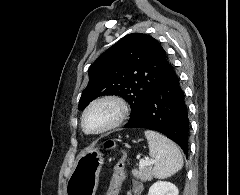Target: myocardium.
<instances>
[{"mask_svg":"<svg viewBox=\"0 0 240 195\" xmlns=\"http://www.w3.org/2000/svg\"><path fill=\"white\" fill-rule=\"evenodd\" d=\"M105 106H109L114 110L112 119L99 129L88 130L86 127V118L88 114L96 108ZM128 113H129L128 104L122 97L115 94L101 96L93 100L84 110L81 120L83 131L89 135H98L105 133L120 126L126 119Z\"/></svg>","mask_w":240,"mask_h":195,"instance_id":"1","label":"myocardium"}]
</instances>
